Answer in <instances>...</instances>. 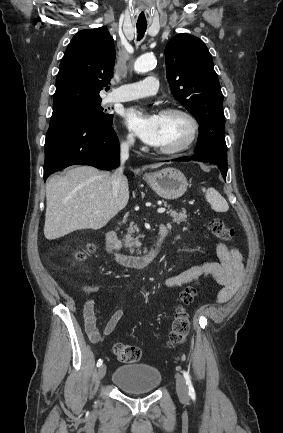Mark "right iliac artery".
<instances>
[{
    "mask_svg": "<svg viewBox=\"0 0 283 433\" xmlns=\"http://www.w3.org/2000/svg\"><path fill=\"white\" fill-rule=\"evenodd\" d=\"M102 363H103L102 359H99L97 362V367H100L102 365Z\"/></svg>",
    "mask_w": 283,
    "mask_h": 433,
    "instance_id": "right-iliac-artery-1",
    "label": "right iliac artery"
}]
</instances>
